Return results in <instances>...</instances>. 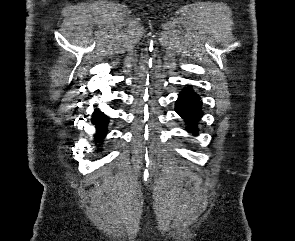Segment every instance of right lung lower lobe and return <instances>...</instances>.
<instances>
[{
  "instance_id": "1",
  "label": "right lung lower lobe",
  "mask_w": 295,
  "mask_h": 241,
  "mask_svg": "<svg viewBox=\"0 0 295 241\" xmlns=\"http://www.w3.org/2000/svg\"><path fill=\"white\" fill-rule=\"evenodd\" d=\"M108 119L105 116V114L98 109H95L91 122L93 125H95L97 129V134L95 136V140L98 142H102V139L105 137L107 133V125H108Z\"/></svg>"
}]
</instances>
